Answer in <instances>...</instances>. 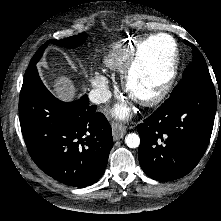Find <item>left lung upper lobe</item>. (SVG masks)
Here are the masks:
<instances>
[{"label": "left lung upper lobe", "instance_id": "obj_1", "mask_svg": "<svg viewBox=\"0 0 221 221\" xmlns=\"http://www.w3.org/2000/svg\"><path fill=\"white\" fill-rule=\"evenodd\" d=\"M187 45L192 47L193 59L185 69L183 77L177 86L173 89L171 94L176 93L185 85L191 82H202L207 84H213L211 76L206 64V61L200 51L190 42L184 41Z\"/></svg>", "mask_w": 221, "mask_h": 221}]
</instances>
